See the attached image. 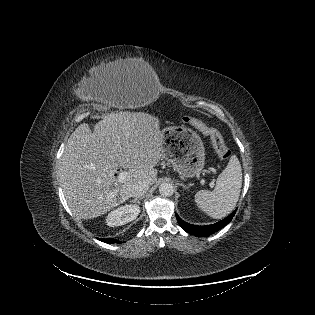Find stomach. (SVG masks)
<instances>
[{"label": "stomach", "mask_w": 315, "mask_h": 315, "mask_svg": "<svg viewBox=\"0 0 315 315\" xmlns=\"http://www.w3.org/2000/svg\"><path fill=\"white\" fill-rule=\"evenodd\" d=\"M162 154L184 177L193 178L205 164V148L198 134L185 126H169L161 131Z\"/></svg>", "instance_id": "0dacf381"}]
</instances>
